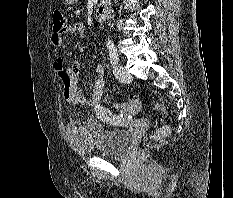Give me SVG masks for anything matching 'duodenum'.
I'll use <instances>...</instances> for the list:
<instances>
[{
	"label": "duodenum",
	"instance_id": "duodenum-1",
	"mask_svg": "<svg viewBox=\"0 0 233 198\" xmlns=\"http://www.w3.org/2000/svg\"><path fill=\"white\" fill-rule=\"evenodd\" d=\"M110 9V0H101L96 10L95 18L97 21H103L106 19Z\"/></svg>",
	"mask_w": 233,
	"mask_h": 198
}]
</instances>
